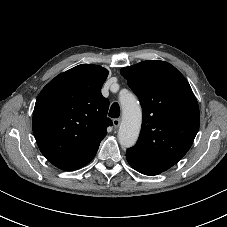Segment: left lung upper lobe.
<instances>
[{"instance_id":"obj_1","label":"left lung upper lobe","mask_w":227,"mask_h":227,"mask_svg":"<svg viewBox=\"0 0 227 227\" xmlns=\"http://www.w3.org/2000/svg\"><path fill=\"white\" fill-rule=\"evenodd\" d=\"M120 73L143 110L140 136L127 150V161L159 173L166 171L187 153L198 132L196 97L185 77L164 61H143Z\"/></svg>"}]
</instances>
